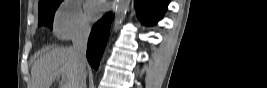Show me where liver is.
Here are the masks:
<instances>
[{
  "instance_id": "1",
  "label": "liver",
  "mask_w": 267,
  "mask_h": 88,
  "mask_svg": "<svg viewBox=\"0 0 267 88\" xmlns=\"http://www.w3.org/2000/svg\"><path fill=\"white\" fill-rule=\"evenodd\" d=\"M59 75L65 76L61 88H74L77 66L72 48H55L38 58L31 69V88H50Z\"/></svg>"
}]
</instances>
